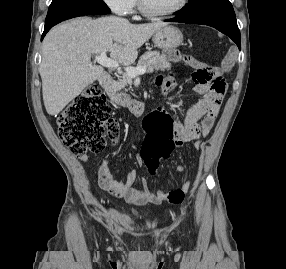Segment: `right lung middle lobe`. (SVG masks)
Segmentation results:
<instances>
[{
	"label": "right lung middle lobe",
	"mask_w": 286,
	"mask_h": 269,
	"mask_svg": "<svg viewBox=\"0 0 286 269\" xmlns=\"http://www.w3.org/2000/svg\"><path fill=\"white\" fill-rule=\"evenodd\" d=\"M110 13L103 0H52L45 20V27L64 20L83 16Z\"/></svg>",
	"instance_id": "obj_1"
}]
</instances>
